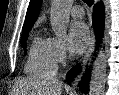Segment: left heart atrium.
I'll use <instances>...</instances> for the list:
<instances>
[{
  "mask_svg": "<svg viewBox=\"0 0 119 95\" xmlns=\"http://www.w3.org/2000/svg\"><path fill=\"white\" fill-rule=\"evenodd\" d=\"M90 41V31L88 26L81 22L75 21L70 25L68 44L69 50L73 54L82 53Z\"/></svg>",
  "mask_w": 119,
  "mask_h": 95,
  "instance_id": "obj_1",
  "label": "left heart atrium"
}]
</instances>
